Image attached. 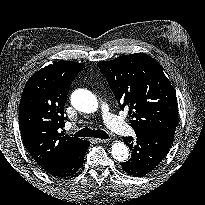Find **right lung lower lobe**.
Segmentation results:
<instances>
[{"mask_svg": "<svg viewBox=\"0 0 205 205\" xmlns=\"http://www.w3.org/2000/svg\"><path fill=\"white\" fill-rule=\"evenodd\" d=\"M89 145L90 142L83 141L81 146L73 150L59 163L53 165L48 169H45V171L59 178H65L74 175L82 166L84 162V156Z\"/></svg>", "mask_w": 205, "mask_h": 205, "instance_id": "right-lung-lower-lobe-1", "label": "right lung lower lobe"}]
</instances>
